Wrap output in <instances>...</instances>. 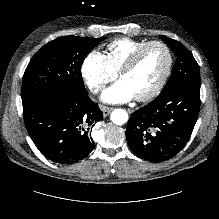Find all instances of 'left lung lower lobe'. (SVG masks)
I'll use <instances>...</instances> for the list:
<instances>
[{"instance_id":"0a47b994","label":"left lung lower lobe","mask_w":219,"mask_h":219,"mask_svg":"<svg viewBox=\"0 0 219 219\" xmlns=\"http://www.w3.org/2000/svg\"><path fill=\"white\" fill-rule=\"evenodd\" d=\"M200 109V83H183L135 111L127 124L131 150L151 162L168 160L188 142Z\"/></svg>"}]
</instances>
